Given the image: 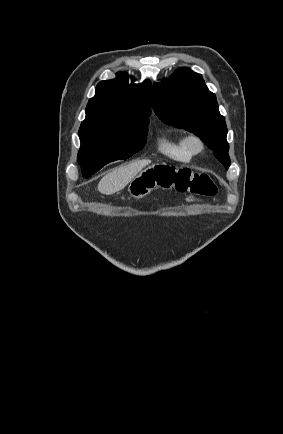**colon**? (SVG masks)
<instances>
[{"mask_svg": "<svg viewBox=\"0 0 283 434\" xmlns=\"http://www.w3.org/2000/svg\"><path fill=\"white\" fill-rule=\"evenodd\" d=\"M155 188L175 189L203 197L217 193V186L208 174L158 164L147 168L133 180L130 194L134 198H142Z\"/></svg>", "mask_w": 283, "mask_h": 434, "instance_id": "1", "label": "colon"}]
</instances>
